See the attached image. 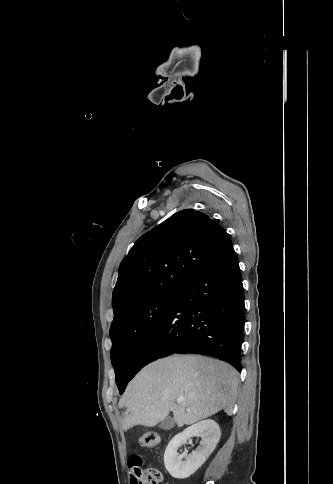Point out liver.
I'll use <instances>...</instances> for the list:
<instances>
[{"instance_id": "obj_1", "label": "liver", "mask_w": 333, "mask_h": 484, "mask_svg": "<svg viewBox=\"0 0 333 484\" xmlns=\"http://www.w3.org/2000/svg\"><path fill=\"white\" fill-rule=\"evenodd\" d=\"M237 371L229 364L203 356H170L144 367L119 400L125 408L123 430L136 425L153 427L170 411L178 427L190 425L224 410L233 414ZM183 397L181 403H176Z\"/></svg>"}]
</instances>
